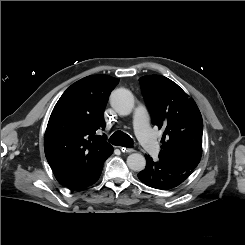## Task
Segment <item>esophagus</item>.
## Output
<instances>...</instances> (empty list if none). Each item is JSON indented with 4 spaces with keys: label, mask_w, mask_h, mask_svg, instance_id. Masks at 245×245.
<instances>
[{
    "label": "esophagus",
    "mask_w": 245,
    "mask_h": 245,
    "mask_svg": "<svg viewBox=\"0 0 245 245\" xmlns=\"http://www.w3.org/2000/svg\"><path fill=\"white\" fill-rule=\"evenodd\" d=\"M120 150L123 152V153H132L134 152V149L132 148H126V147H119Z\"/></svg>",
    "instance_id": "1"
}]
</instances>
